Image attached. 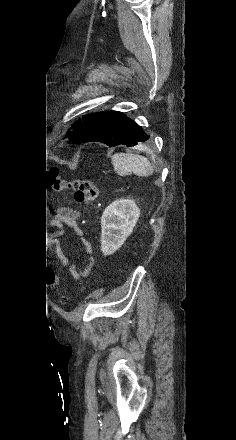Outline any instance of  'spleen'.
<instances>
[{"label":"spleen","mask_w":236,"mask_h":440,"mask_svg":"<svg viewBox=\"0 0 236 440\" xmlns=\"http://www.w3.org/2000/svg\"><path fill=\"white\" fill-rule=\"evenodd\" d=\"M114 170L119 175L134 173L138 176H149L154 172L150 161L138 154L117 153L111 158Z\"/></svg>","instance_id":"3e777b00"}]
</instances>
